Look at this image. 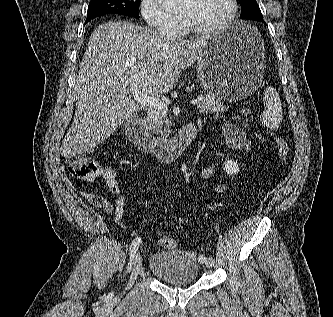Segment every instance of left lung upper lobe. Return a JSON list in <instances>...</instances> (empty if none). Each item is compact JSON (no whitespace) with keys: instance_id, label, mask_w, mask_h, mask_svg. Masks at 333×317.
Masks as SVG:
<instances>
[{"instance_id":"1","label":"left lung upper lobe","mask_w":333,"mask_h":317,"mask_svg":"<svg viewBox=\"0 0 333 317\" xmlns=\"http://www.w3.org/2000/svg\"><path fill=\"white\" fill-rule=\"evenodd\" d=\"M241 5V19L262 21L263 16L256 0H239Z\"/></svg>"}]
</instances>
